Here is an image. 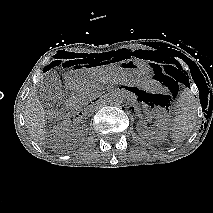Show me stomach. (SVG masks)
I'll use <instances>...</instances> for the list:
<instances>
[{
    "mask_svg": "<svg viewBox=\"0 0 213 213\" xmlns=\"http://www.w3.org/2000/svg\"><path fill=\"white\" fill-rule=\"evenodd\" d=\"M153 76V70L143 60H126L111 66H95L91 70L75 71L67 76V81L76 86L104 79L121 78L136 82L137 85L147 84Z\"/></svg>",
    "mask_w": 213,
    "mask_h": 213,
    "instance_id": "obj_1",
    "label": "stomach"
}]
</instances>
